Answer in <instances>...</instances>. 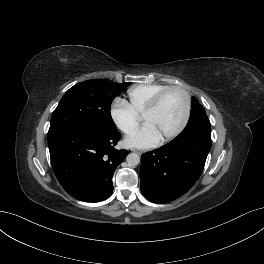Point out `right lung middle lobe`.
Here are the masks:
<instances>
[{
    "label": "right lung middle lobe",
    "instance_id": "obj_1",
    "mask_svg": "<svg viewBox=\"0 0 264 264\" xmlns=\"http://www.w3.org/2000/svg\"><path fill=\"white\" fill-rule=\"evenodd\" d=\"M129 84L89 80L74 85L64 94L53 112L48 141L67 132L116 131L110 106Z\"/></svg>",
    "mask_w": 264,
    "mask_h": 264
}]
</instances>
